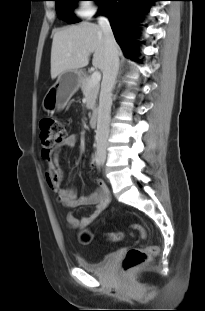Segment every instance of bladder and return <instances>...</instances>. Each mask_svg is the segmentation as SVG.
<instances>
[{
  "label": "bladder",
  "mask_w": 205,
  "mask_h": 311,
  "mask_svg": "<svg viewBox=\"0 0 205 311\" xmlns=\"http://www.w3.org/2000/svg\"><path fill=\"white\" fill-rule=\"evenodd\" d=\"M115 258L114 253H108L106 254L103 259L99 262H90L86 259L83 255H78L77 257V263L79 267L86 271L91 272H103L107 265Z\"/></svg>",
  "instance_id": "1"
}]
</instances>
